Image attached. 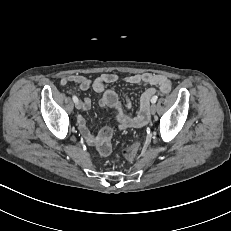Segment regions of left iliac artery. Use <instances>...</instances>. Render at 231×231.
I'll use <instances>...</instances> for the list:
<instances>
[{
    "label": "left iliac artery",
    "instance_id": "44dca946",
    "mask_svg": "<svg viewBox=\"0 0 231 231\" xmlns=\"http://www.w3.org/2000/svg\"><path fill=\"white\" fill-rule=\"evenodd\" d=\"M157 99H158L157 96H153L151 99V103H153V104L156 103Z\"/></svg>",
    "mask_w": 231,
    "mask_h": 231
}]
</instances>
